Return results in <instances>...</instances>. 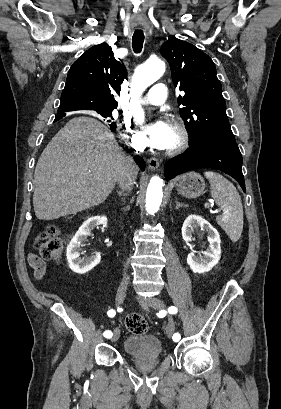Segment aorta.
Wrapping results in <instances>:
<instances>
[{"label": "aorta", "instance_id": "obj_1", "mask_svg": "<svg viewBox=\"0 0 281 409\" xmlns=\"http://www.w3.org/2000/svg\"><path fill=\"white\" fill-rule=\"evenodd\" d=\"M165 72V63L160 59H151L140 65L133 78L135 92L134 114L139 123L144 121V112L138 105L139 95L151 84L156 82ZM163 181L158 176H153L149 182L146 193V211L154 214L159 210L163 197Z\"/></svg>", "mask_w": 281, "mask_h": 409}]
</instances>
